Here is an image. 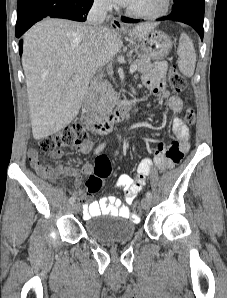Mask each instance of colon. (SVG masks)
I'll return each mask as SVG.
<instances>
[{"mask_svg": "<svg viewBox=\"0 0 227 298\" xmlns=\"http://www.w3.org/2000/svg\"><path fill=\"white\" fill-rule=\"evenodd\" d=\"M168 81L171 88L178 93L187 92V83L182 74L175 67L169 71ZM184 121L193 125L195 122V112L188 108L184 115ZM88 133L81 124H73L65 127L61 131L48 135L38 142V147L43 152H61L62 149L82 144L87 141ZM111 173V163L106 156H100L96 160L95 171L87 180V189L89 193L94 194L100 191L103 179ZM140 212V204L135 202L134 213Z\"/></svg>", "mask_w": 227, "mask_h": 298, "instance_id": "colon-1", "label": "colon"}]
</instances>
